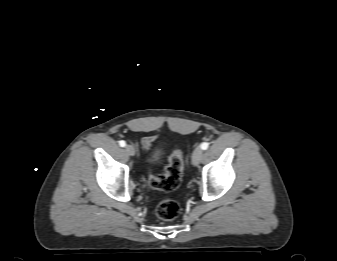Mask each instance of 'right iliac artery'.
I'll return each mask as SVG.
<instances>
[{"label":"right iliac artery","instance_id":"right-iliac-artery-1","mask_svg":"<svg viewBox=\"0 0 337 261\" xmlns=\"http://www.w3.org/2000/svg\"><path fill=\"white\" fill-rule=\"evenodd\" d=\"M119 145H120L121 147H125V146H126V142H125L124 140H121V141L119 142Z\"/></svg>","mask_w":337,"mask_h":261}]
</instances>
